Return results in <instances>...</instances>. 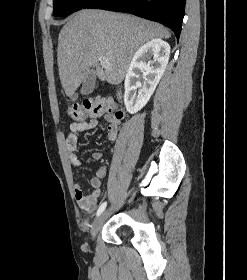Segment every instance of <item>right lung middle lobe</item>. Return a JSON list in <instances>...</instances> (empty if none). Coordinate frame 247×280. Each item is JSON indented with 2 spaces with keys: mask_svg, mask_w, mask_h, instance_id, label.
<instances>
[{
  "mask_svg": "<svg viewBox=\"0 0 247 280\" xmlns=\"http://www.w3.org/2000/svg\"><path fill=\"white\" fill-rule=\"evenodd\" d=\"M97 0H54V16H66L78 10L88 8Z\"/></svg>",
  "mask_w": 247,
  "mask_h": 280,
  "instance_id": "right-lung-middle-lobe-1",
  "label": "right lung middle lobe"
}]
</instances>
